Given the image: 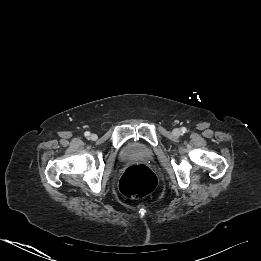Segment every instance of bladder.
<instances>
[{"label":"bladder","instance_id":"31cf9c89","mask_svg":"<svg viewBox=\"0 0 261 261\" xmlns=\"http://www.w3.org/2000/svg\"><path fill=\"white\" fill-rule=\"evenodd\" d=\"M152 155L150 149L146 148L140 144H130L126 147L123 156L126 159L131 158H141V159H149Z\"/></svg>","mask_w":261,"mask_h":261}]
</instances>
